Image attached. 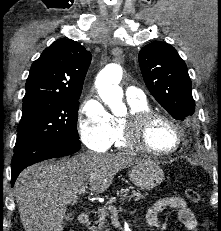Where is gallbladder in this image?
Segmentation results:
<instances>
[{
    "label": "gallbladder",
    "instance_id": "gallbladder-1",
    "mask_svg": "<svg viewBox=\"0 0 221 231\" xmlns=\"http://www.w3.org/2000/svg\"><path fill=\"white\" fill-rule=\"evenodd\" d=\"M64 219L66 221H72L74 219L73 213H71V212L66 213Z\"/></svg>",
    "mask_w": 221,
    "mask_h": 231
}]
</instances>
